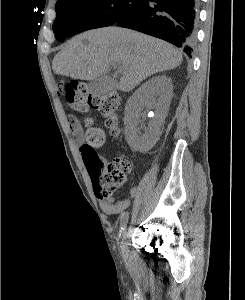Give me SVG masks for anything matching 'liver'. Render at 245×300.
Masks as SVG:
<instances>
[{
	"mask_svg": "<svg viewBox=\"0 0 245 300\" xmlns=\"http://www.w3.org/2000/svg\"><path fill=\"white\" fill-rule=\"evenodd\" d=\"M182 54L160 39L119 27L86 31L69 40L53 61L57 75L91 81L111 67L121 73L117 89L129 92L147 77L178 67Z\"/></svg>",
	"mask_w": 245,
	"mask_h": 300,
	"instance_id": "1",
	"label": "liver"
}]
</instances>
